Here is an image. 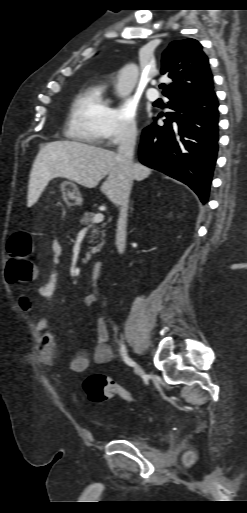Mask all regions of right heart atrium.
<instances>
[{"instance_id":"obj_1","label":"right heart atrium","mask_w":247,"mask_h":513,"mask_svg":"<svg viewBox=\"0 0 247 513\" xmlns=\"http://www.w3.org/2000/svg\"><path fill=\"white\" fill-rule=\"evenodd\" d=\"M136 135V107L131 100L124 99L110 109L105 124L103 143L114 147L132 141Z\"/></svg>"}]
</instances>
